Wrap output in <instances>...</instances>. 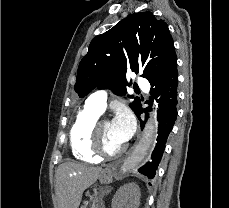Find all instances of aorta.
<instances>
[{
  "label": "aorta",
  "instance_id": "1",
  "mask_svg": "<svg viewBox=\"0 0 229 208\" xmlns=\"http://www.w3.org/2000/svg\"><path fill=\"white\" fill-rule=\"evenodd\" d=\"M157 134V120L155 112L150 114L143 131L142 138L131 155L121 166V172L127 173L136 169L148 155Z\"/></svg>",
  "mask_w": 229,
  "mask_h": 208
}]
</instances>
